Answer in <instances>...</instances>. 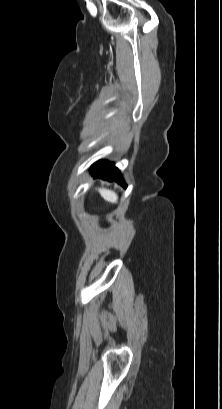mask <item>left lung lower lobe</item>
<instances>
[{"mask_svg": "<svg viewBox=\"0 0 222 409\" xmlns=\"http://www.w3.org/2000/svg\"><path fill=\"white\" fill-rule=\"evenodd\" d=\"M91 175L94 177L102 178L108 181H116L126 187V184L119 172V170L114 166L113 163L107 161H98L90 169Z\"/></svg>", "mask_w": 222, "mask_h": 409, "instance_id": "obj_1", "label": "left lung lower lobe"}]
</instances>
